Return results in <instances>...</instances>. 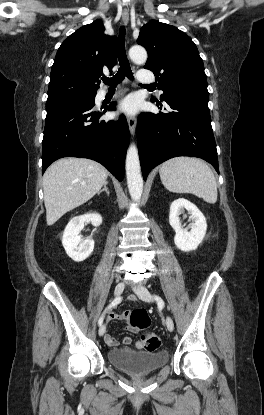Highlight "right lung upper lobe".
I'll return each mask as SVG.
<instances>
[{
  "label": "right lung upper lobe",
  "mask_w": 264,
  "mask_h": 415,
  "mask_svg": "<svg viewBox=\"0 0 264 415\" xmlns=\"http://www.w3.org/2000/svg\"><path fill=\"white\" fill-rule=\"evenodd\" d=\"M104 30L102 21L96 20L61 44L51 69L48 99L96 94L103 68L111 72L117 62V39Z\"/></svg>",
  "instance_id": "cb5924a9"
}]
</instances>
